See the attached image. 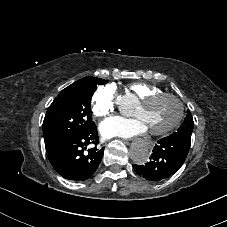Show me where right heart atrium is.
Segmentation results:
<instances>
[{
	"label": "right heart atrium",
	"instance_id": "obj_1",
	"mask_svg": "<svg viewBox=\"0 0 227 227\" xmlns=\"http://www.w3.org/2000/svg\"><path fill=\"white\" fill-rule=\"evenodd\" d=\"M115 86H100L93 95L92 112L97 117L107 118L115 112Z\"/></svg>",
	"mask_w": 227,
	"mask_h": 227
}]
</instances>
